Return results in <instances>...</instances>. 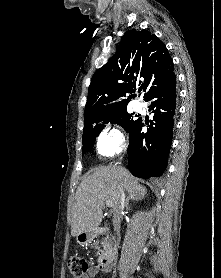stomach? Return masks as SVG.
<instances>
[{
  "instance_id": "obj_1",
  "label": "stomach",
  "mask_w": 221,
  "mask_h": 278,
  "mask_svg": "<svg viewBox=\"0 0 221 278\" xmlns=\"http://www.w3.org/2000/svg\"><path fill=\"white\" fill-rule=\"evenodd\" d=\"M85 241H86V240H84V239L81 238V234L77 236V242H78L79 244H83V243H85Z\"/></svg>"
}]
</instances>
